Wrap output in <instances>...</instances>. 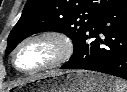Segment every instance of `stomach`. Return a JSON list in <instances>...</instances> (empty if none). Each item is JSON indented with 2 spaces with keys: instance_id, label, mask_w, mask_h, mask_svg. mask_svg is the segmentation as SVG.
Masks as SVG:
<instances>
[{
  "instance_id": "0dacf381",
  "label": "stomach",
  "mask_w": 127,
  "mask_h": 92,
  "mask_svg": "<svg viewBox=\"0 0 127 92\" xmlns=\"http://www.w3.org/2000/svg\"><path fill=\"white\" fill-rule=\"evenodd\" d=\"M30 87L33 92H114L115 89L112 79L84 70L45 73L32 78Z\"/></svg>"
}]
</instances>
